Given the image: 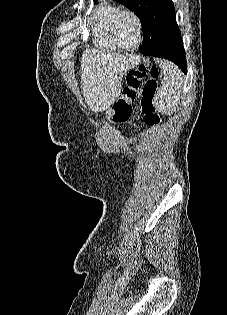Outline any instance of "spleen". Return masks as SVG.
Masks as SVG:
<instances>
[{"label": "spleen", "instance_id": "spleen-1", "mask_svg": "<svg viewBox=\"0 0 227 315\" xmlns=\"http://www.w3.org/2000/svg\"><path fill=\"white\" fill-rule=\"evenodd\" d=\"M161 66L164 78L156 95L157 108L170 115L182 95L183 80L181 73L172 64L161 61Z\"/></svg>", "mask_w": 227, "mask_h": 315}]
</instances>
